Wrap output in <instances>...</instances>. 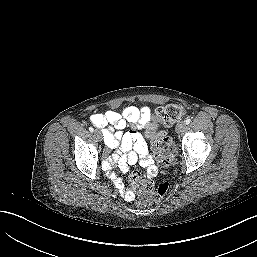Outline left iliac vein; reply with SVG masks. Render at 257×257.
<instances>
[{
    "label": "left iliac vein",
    "mask_w": 257,
    "mask_h": 257,
    "mask_svg": "<svg viewBox=\"0 0 257 257\" xmlns=\"http://www.w3.org/2000/svg\"><path fill=\"white\" fill-rule=\"evenodd\" d=\"M186 129V123L185 122H180L176 126V132L181 133Z\"/></svg>",
    "instance_id": "1"
}]
</instances>
